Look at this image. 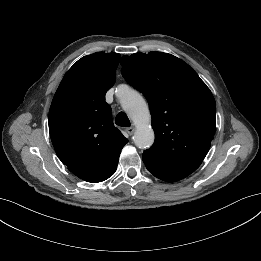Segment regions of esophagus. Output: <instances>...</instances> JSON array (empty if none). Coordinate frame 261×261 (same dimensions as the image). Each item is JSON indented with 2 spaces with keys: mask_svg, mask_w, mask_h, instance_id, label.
<instances>
[{
  "mask_svg": "<svg viewBox=\"0 0 261 261\" xmlns=\"http://www.w3.org/2000/svg\"><path fill=\"white\" fill-rule=\"evenodd\" d=\"M135 131V128L133 126H130L128 128H126V132L129 134V135H132Z\"/></svg>",
  "mask_w": 261,
  "mask_h": 261,
  "instance_id": "1",
  "label": "esophagus"
}]
</instances>
